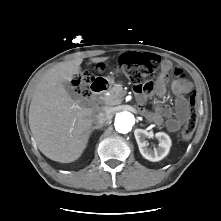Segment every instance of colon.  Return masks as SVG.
<instances>
[{
    "label": "colon",
    "instance_id": "5ec220e1",
    "mask_svg": "<svg viewBox=\"0 0 221 221\" xmlns=\"http://www.w3.org/2000/svg\"><path fill=\"white\" fill-rule=\"evenodd\" d=\"M159 59L153 54H139L130 57L126 61H121L117 66V70L124 74L131 82L138 88L146 91L151 90L153 87V78L158 69ZM90 75L88 73L79 74L75 77L77 92L81 96H87V85L90 82ZM188 101L191 105L188 120L182 129V137L189 140L195 130L197 123V113L194 109L195 94L194 92L188 93Z\"/></svg>",
    "mask_w": 221,
    "mask_h": 221
}]
</instances>
